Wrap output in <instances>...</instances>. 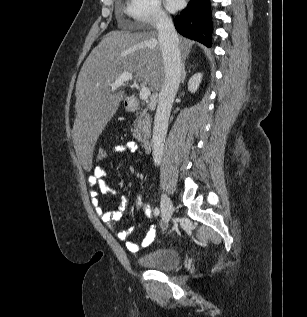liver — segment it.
Segmentation results:
<instances>
[{
  "label": "liver",
  "instance_id": "obj_1",
  "mask_svg": "<svg viewBox=\"0 0 307 317\" xmlns=\"http://www.w3.org/2000/svg\"><path fill=\"white\" fill-rule=\"evenodd\" d=\"M193 42L179 37L185 58ZM135 74L142 86L159 91L165 80L162 52L154 30L112 31L85 60L76 83V118L72 130L74 153L84 172L92 171L93 148L116 113L125 91L114 92L111 84L123 73Z\"/></svg>",
  "mask_w": 307,
  "mask_h": 317
}]
</instances>
